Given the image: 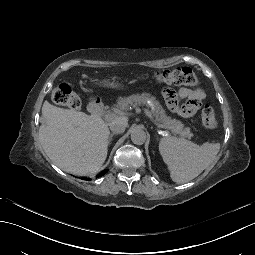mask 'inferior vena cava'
<instances>
[{
  "label": "inferior vena cava",
  "instance_id": "inferior-vena-cava-1",
  "mask_svg": "<svg viewBox=\"0 0 255 255\" xmlns=\"http://www.w3.org/2000/svg\"><path fill=\"white\" fill-rule=\"evenodd\" d=\"M125 128H126V124L121 120L113 121L112 123H110V130L113 133H117V134L124 133Z\"/></svg>",
  "mask_w": 255,
  "mask_h": 255
}]
</instances>
